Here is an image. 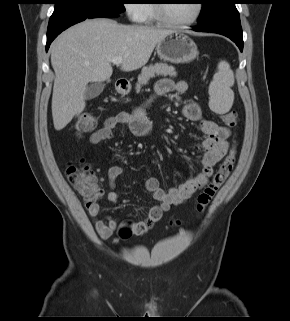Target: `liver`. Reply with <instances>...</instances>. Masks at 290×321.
<instances>
[{
  "label": "liver",
  "mask_w": 290,
  "mask_h": 321,
  "mask_svg": "<svg viewBox=\"0 0 290 321\" xmlns=\"http://www.w3.org/2000/svg\"><path fill=\"white\" fill-rule=\"evenodd\" d=\"M172 30L144 25H122L97 18L76 24L51 44V64L55 72L52 117L62 130L85 109L89 82H103L112 73L111 61L122 57L121 70L144 66L156 45Z\"/></svg>",
  "instance_id": "obj_1"
}]
</instances>
